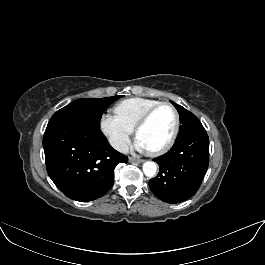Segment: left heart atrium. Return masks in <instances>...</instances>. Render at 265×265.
I'll use <instances>...</instances> for the list:
<instances>
[{
	"instance_id": "1",
	"label": "left heart atrium",
	"mask_w": 265,
	"mask_h": 265,
	"mask_svg": "<svg viewBox=\"0 0 265 265\" xmlns=\"http://www.w3.org/2000/svg\"><path fill=\"white\" fill-rule=\"evenodd\" d=\"M134 148L138 151H146L148 150L146 145L137 137L134 142Z\"/></svg>"
}]
</instances>
